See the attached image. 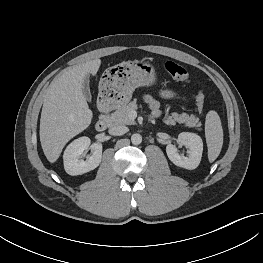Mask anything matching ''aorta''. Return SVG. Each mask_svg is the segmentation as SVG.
Listing matches in <instances>:
<instances>
[{"mask_svg": "<svg viewBox=\"0 0 263 263\" xmlns=\"http://www.w3.org/2000/svg\"><path fill=\"white\" fill-rule=\"evenodd\" d=\"M131 142L134 145H139L142 142V136L138 133H135L131 136Z\"/></svg>", "mask_w": 263, "mask_h": 263, "instance_id": "762f6f07", "label": "aorta"}]
</instances>
